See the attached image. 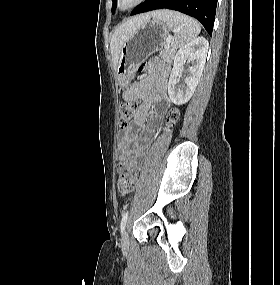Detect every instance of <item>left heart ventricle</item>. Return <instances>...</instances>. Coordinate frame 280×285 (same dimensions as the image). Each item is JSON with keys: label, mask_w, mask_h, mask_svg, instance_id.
I'll return each instance as SVG.
<instances>
[{"label": "left heart ventricle", "mask_w": 280, "mask_h": 285, "mask_svg": "<svg viewBox=\"0 0 280 285\" xmlns=\"http://www.w3.org/2000/svg\"><path fill=\"white\" fill-rule=\"evenodd\" d=\"M133 0H122V6L126 7L127 5H129Z\"/></svg>", "instance_id": "b2bd125f"}]
</instances>
